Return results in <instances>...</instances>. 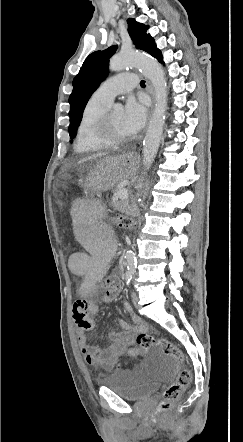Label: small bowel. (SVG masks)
Instances as JSON below:
<instances>
[{
  "mask_svg": "<svg viewBox=\"0 0 243 442\" xmlns=\"http://www.w3.org/2000/svg\"><path fill=\"white\" fill-rule=\"evenodd\" d=\"M95 288L96 292L105 291L107 300L111 301L119 293V278L116 275H110L106 280L99 282V285ZM124 308L131 321L119 320L118 325L123 331H111L108 334L110 345L99 349L90 345L86 337V332L93 328L92 316L99 312V305L83 296L75 302L72 312L77 326L78 346L83 358L89 365L111 369L125 352L130 356L138 354V348L133 347L135 334L143 331L146 325L132 313L131 306L128 303H125Z\"/></svg>",
  "mask_w": 243,
  "mask_h": 442,
  "instance_id": "1",
  "label": "small bowel"
}]
</instances>
